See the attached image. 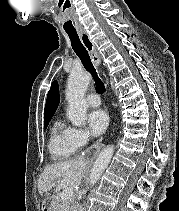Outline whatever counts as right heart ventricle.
Masks as SVG:
<instances>
[{
    "instance_id": "obj_1",
    "label": "right heart ventricle",
    "mask_w": 179,
    "mask_h": 211,
    "mask_svg": "<svg viewBox=\"0 0 179 211\" xmlns=\"http://www.w3.org/2000/svg\"><path fill=\"white\" fill-rule=\"evenodd\" d=\"M48 147L55 161L65 160L76 151L69 137V127L60 119L55 120L52 125Z\"/></svg>"
}]
</instances>
